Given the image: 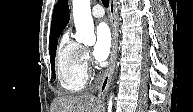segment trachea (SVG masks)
I'll list each match as a JSON object with an SVG mask.
<instances>
[{"label": "trachea", "mask_w": 193, "mask_h": 112, "mask_svg": "<svg viewBox=\"0 0 193 112\" xmlns=\"http://www.w3.org/2000/svg\"><path fill=\"white\" fill-rule=\"evenodd\" d=\"M102 3L105 7L109 6V0H102Z\"/></svg>", "instance_id": "trachea-1"}]
</instances>
